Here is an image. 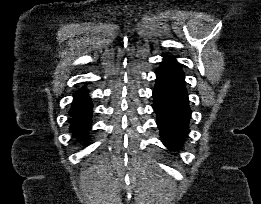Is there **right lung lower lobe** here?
<instances>
[{
  "label": "right lung lower lobe",
  "instance_id": "right-lung-lower-lobe-1",
  "mask_svg": "<svg viewBox=\"0 0 261 204\" xmlns=\"http://www.w3.org/2000/svg\"><path fill=\"white\" fill-rule=\"evenodd\" d=\"M85 87L79 89L72 102V107L69 111L71 132L83 142H88V130L91 128L92 118V102L90 97L85 92Z\"/></svg>",
  "mask_w": 261,
  "mask_h": 204
}]
</instances>
